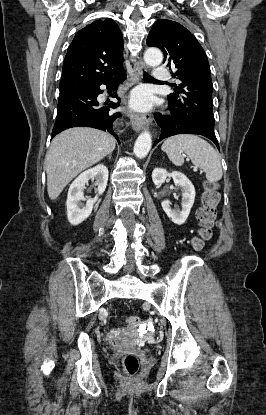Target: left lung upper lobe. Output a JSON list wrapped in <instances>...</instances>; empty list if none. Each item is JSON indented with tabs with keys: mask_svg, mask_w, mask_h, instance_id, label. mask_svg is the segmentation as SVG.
Listing matches in <instances>:
<instances>
[{
	"mask_svg": "<svg viewBox=\"0 0 266 415\" xmlns=\"http://www.w3.org/2000/svg\"><path fill=\"white\" fill-rule=\"evenodd\" d=\"M147 44L162 50L163 63L181 81L168 96L169 105L185 120L214 131L211 71L206 53L196 38L181 24L160 19L152 26Z\"/></svg>",
	"mask_w": 266,
	"mask_h": 415,
	"instance_id": "1",
	"label": "left lung upper lobe"
}]
</instances>
